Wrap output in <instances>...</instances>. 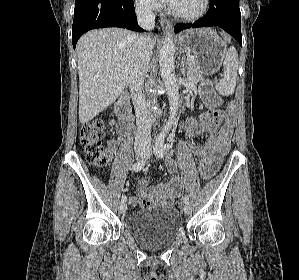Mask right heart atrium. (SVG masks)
Here are the masks:
<instances>
[{
    "instance_id": "1",
    "label": "right heart atrium",
    "mask_w": 299,
    "mask_h": 280,
    "mask_svg": "<svg viewBox=\"0 0 299 280\" xmlns=\"http://www.w3.org/2000/svg\"><path fill=\"white\" fill-rule=\"evenodd\" d=\"M137 3L146 9L156 10L160 7V0H136Z\"/></svg>"
}]
</instances>
